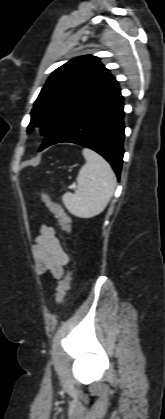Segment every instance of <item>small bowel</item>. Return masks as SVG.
I'll return each instance as SVG.
<instances>
[{
  "label": "small bowel",
  "instance_id": "1",
  "mask_svg": "<svg viewBox=\"0 0 165 419\" xmlns=\"http://www.w3.org/2000/svg\"><path fill=\"white\" fill-rule=\"evenodd\" d=\"M36 268L39 273L50 272L56 279L64 276L69 256L64 251L55 229L43 225L33 245Z\"/></svg>",
  "mask_w": 165,
  "mask_h": 419
}]
</instances>
